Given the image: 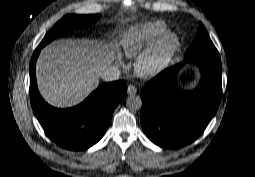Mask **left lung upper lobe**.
Instances as JSON below:
<instances>
[{
    "label": "left lung upper lobe",
    "instance_id": "1",
    "mask_svg": "<svg viewBox=\"0 0 255 177\" xmlns=\"http://www.w3.org/2000/svg\"><path fill=\"white\" fill-rule=\"evenodd\" d=\"M201 55H219L202 23L199 24L196 38L188 48L185 58Z\"/></svg>",
    "mask_w": 255,
    "mask_h": 177
}]
</instances>
